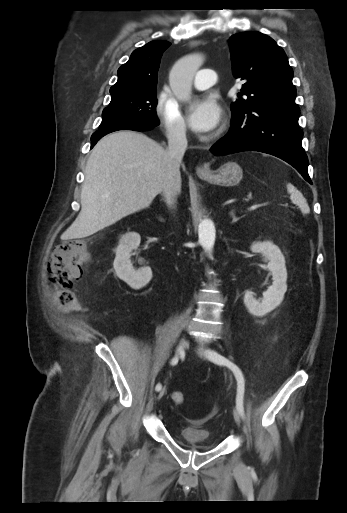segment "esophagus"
<instances>
[{"instance_id":"esophagus-1","label":"esophagus","mask_w":347,"mask_h":513,"mask_svg":"<svg viewBox=\"0 0 347 513\" xmlns=\"http://www.w3.org/2000/svg\"><path fill=\"white\" fill-rule=\"evenodd\" d=\"M209 173V168L204 166V165H200V166H197L196 168V174L199 175V176H202V175H206Z\"/></svg>"}]
</instances>
